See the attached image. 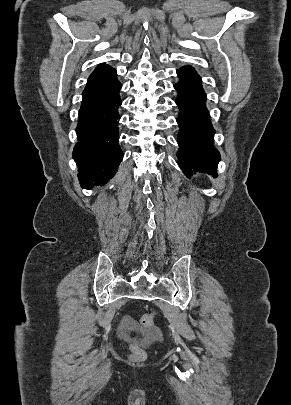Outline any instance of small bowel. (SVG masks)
Returning a JSON list of instances; mask_svg holds the SVG:
<instances>
[{
	"instance_id": "obj_1",
	"label": "small bowel",
	"mask_w": 291,
	"mask_h": 405,
	"mask_svg": "<svg viewBox=\"0 0 291 405\" xmlns=\"http://www.w3.org/2000/svg\"><path fill=\"white\" fill-rule=\"evenodd\" d=\"M122 324H123L124 327H127V328H133L134 327V321L129 316L124 317V319L122 321Z\"/></svg>"
}]
</instances>
